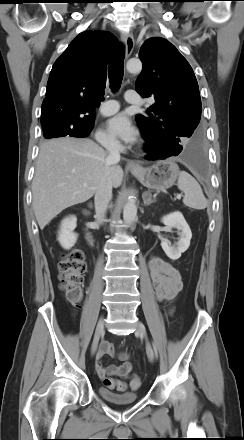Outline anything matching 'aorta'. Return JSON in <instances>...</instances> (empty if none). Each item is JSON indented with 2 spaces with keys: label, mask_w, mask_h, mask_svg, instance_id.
I'll use <instances>...</instances> for the list:
<instances>
[{
  "label": "aorta",
  "mask_w": 244,
  "mask_h": 440,
  "mask_svg": "<svg viewBox=\"0 0 244 440\" xmlns=\"http://www.w3.org/2000/svg\"><path fill=\"white\" fill-rule=\"evenodd\" d=\"M126 68L131 73H139L142 70V63L140 60L131 59L127 62ZM137 215V206L135 200L130 198L123 209V219L127 224H131Z\"/></svg>",
  "instance_id": "aorta-1"
}]
</instances>
